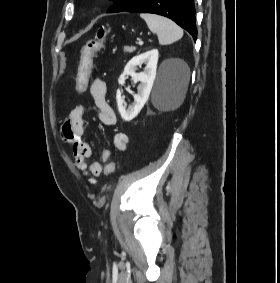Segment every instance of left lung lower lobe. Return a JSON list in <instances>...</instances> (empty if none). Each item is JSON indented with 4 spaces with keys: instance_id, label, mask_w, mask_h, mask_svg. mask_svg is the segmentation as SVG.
<instances>
[{
    "instance_id": "1",
    "label": "left lung lower lobe",
    "mask_w": 280,
    "mask_h": 283,
    "mask_svg": "<svg viewBox=\"0 0 280 283\" xmlns=\"http://www.w3.org/2000/svg\"><path fill=\"white\" fill-rule=\"evenodd\" d=\"M125 11L153 13L168 17L188 31L196 40L194 0H138Z\"/></svg>"
}]
</instances>
